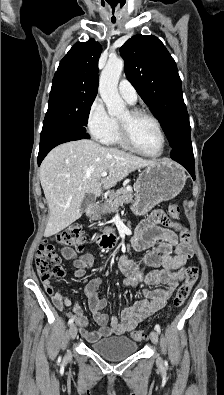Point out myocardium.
<instances>
[{
	"instance_id": "obj_1",
	"label": "myocardium",
	"mask_w": 224,
	"mask_h": 395,
	"mask_svg": "<svg viewBox=\"0 0 224 395\" xmlns=\"http://www.w3.org/2000/svg\"><path fill=\"white\" fill-rule=\"evenodd\" d=\"M128 114H129V121H122L120 119L118 120L119 134L122 142L126 145V147H128L129 149L140 155L151 157V158L161 157L166 149L167 138L159 119L156 116H154L152 113L140 108H131L128 110ZM138 117H146L151 121H153L154 124L156 125L162 139L161 150L158 153L152 154L145 152L136 144L132 135L131 122Z\"/></svg>"
}]
</instances>
